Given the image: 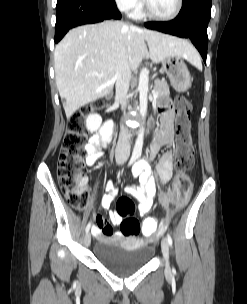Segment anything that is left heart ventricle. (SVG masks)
<instances>
[{
    "instance_id": "obj_1",
    "label": "left heart ventricle",
    "mask_w": 247,
    "mask_h": 304,
    "mask_svg": "<svg viewBox=\"0 0 247 304\" xmlns=\"http://www.w3.org/2000/svg\"><path fill=\"white\" fill-rule=\"evenodd\" d=\"M150 10L159 16L171 14L176 7V0H147Z\"/></svg>"
}]
</instances>
